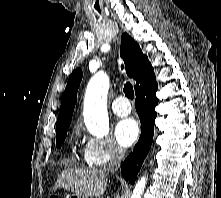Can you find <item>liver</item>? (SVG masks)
Segmentation results:
<instances>
[{
  "instance_id": "6515ba94",
  "label": "liver",
  "mask_w": 221,
  "mask_h": 198,
  "mask_svg": "<svg viewBox=\"0 0 221 198\" xmlns=\"http://www.w3.org/2000/svg\"><path fill=\"white\" fill-rule=\"evenodd\" d=\"M108 171L105 169H65L55 183L76 195L100 198L107 188Z\"/></svg>"
}]
</instances>
